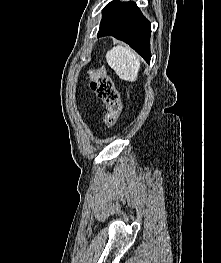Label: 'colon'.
<instances>
[{"label":"colon","instance_id":"colon-1","mask_svg":"<svg viewBox=\"0 0 221 263\" xmlns=\"http://www.w3.org/2000/svg\"><path fill=\"white\" fill-rule=\"evenodd\" d=\"M90 88L106 106V126H114L122 111L121 97L102 67H94L90 70Z\"/></svg>","mask_w":221,"mask_h":263}]
</instances>
